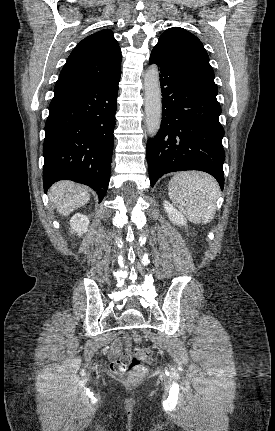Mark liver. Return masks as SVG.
Instances as JSON below:
<instances>
[{"label":"liver","instance_id":"liver-1","mask_svg":"<svg viewBox=\"0 0 275 431\" xmlns=\"http://www.w3.org/2000/svg\"><path fill=\"white\" fill-rule=\"evenodd\" d=\"M48 194L50 201L56 205L57 211L63 216L84 206L90 199L88 189L72 181L55 183Z\"/></svg>","mask_w":275,"mask_h":431}]
</instances>
